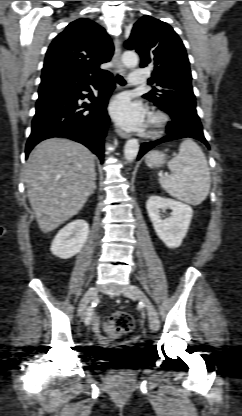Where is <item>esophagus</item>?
<instances>
[{
    "label": "esophagus",
    "instance_id": "esophagus-1",
    "mask_svg": "<svg viewBox=\"0 0 242 416\" xmlns=\"http://www.w3.org/2000/svg\"><path fill=\"white\" fill-rule=\"evenodd\" d=\"M114 56H113V62H114V66H115V70L117 73L119 74H125L126 70L122 64V60H121V43L120 40L118 38L114 39ZM116 133L124 139H127L130 137L129 134L123 132L120 128H116Z\"/></svg>",
    "mask_w": 242,
    "mask_h": 416
}]
</instances>
